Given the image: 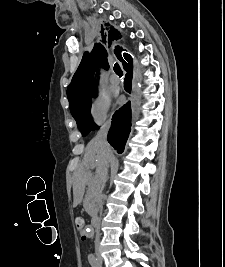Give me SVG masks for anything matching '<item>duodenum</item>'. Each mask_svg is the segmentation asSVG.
Listing matches in <instances>:
<instances>
[{"label": "duodenum", "instance_id": "1", "mask_svg": "<svg viewBox=\"0 0 225 267\" xmlns=\"http://www.w3.org/2000/svg\"><path fill=\"white\" fill-rule=\"evenodd\" d=\"M99 222L100 220H99L98 215L95 212H93L92 218H91V223H92L93 228H97L99 226Z\"/></svg>", "mask_w": 225, "mask_h": 267}]
</instances>
